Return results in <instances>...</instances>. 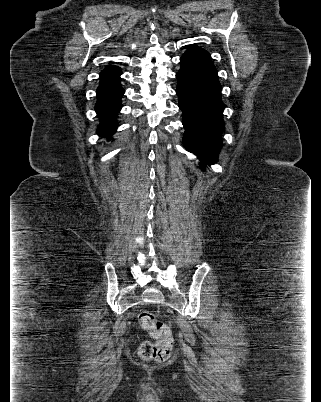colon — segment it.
Listing matches in <instances>:
<instances>
[{
  "instance_id": "1",
  "label": "colon",
  "mask_w": 321,
  "mask_h": 402,
  "mask_svg": "<svg viewBox=\"0 0 321 402\" xmlns=\"http://www.w3.org/2000/svg\"><path fill=\"white\" fill-rule=\"evenodd\" d=\"M140 327L148 332L156 342L144 341L139 348V355L147 361L162 362L171 356L172 336L169 328L161 324L150 311H142L138 315Z\"/></svg>"
}]
</instances>
